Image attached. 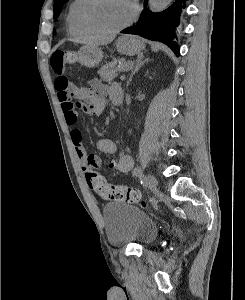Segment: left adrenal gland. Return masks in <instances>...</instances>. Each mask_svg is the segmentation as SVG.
Here are the masks:
<instances>
[{
  "label": "left adrenal gland",
  "instance_id": "obj_1",
  "mask_svg": "<svg viewBox=\"0 0 245 300\" xmlns=\"http://www.w3.org/2000/svg\"><path fill=\"white\" fill-rule=\"evenodd\" d=\"M149 62V59L142 60V58L136 60L135 68L132 70L129 80L127 81V87L130 85L133 76L139 71L144 63Z\"/></svg>",
  "mask_w": 245,
  "mask_h": 300
}]
</instances>
